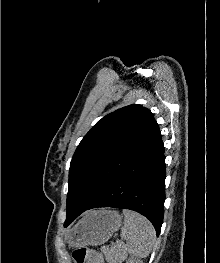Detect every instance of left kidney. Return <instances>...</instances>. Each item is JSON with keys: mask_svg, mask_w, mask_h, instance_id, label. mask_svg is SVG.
I'll return each instance as SVG.
<instances>
[{"mask_svg": "<svg viewBox=\"0 0 220 263\" xmlns=\"http://www.w3.org/2000/svg\"><path fill=\"white\" fill-rule=\"evenodd\" d=\"M126 263H143V261H141L139 259L131 258V259L127 260Z\"/></svg>", "mask_w": 220, "mask_h": 263, "instance_id": "5707ae66", "label": "left kidney"}]
</instances>
